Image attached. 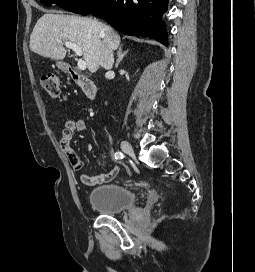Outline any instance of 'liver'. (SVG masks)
<instances>
[{"instance_id": "obj_1", "label": "liver", "mask_w": 255, "mask_h": 272, "mask_svg": "<svg viewBox=\"0 0 255 272\" xmlns=\"http://www.w3.org/2000/svg\"><path fill=\"white\" fill-rule=\"evenodd\" d=\"M57 40L77 44L91 73L97 71L103 49L112 51L120 44L119 34L97 19L46 13L30 35V50L43 57L63 60L67 51Z\"/></svg>"}]
</instances>
